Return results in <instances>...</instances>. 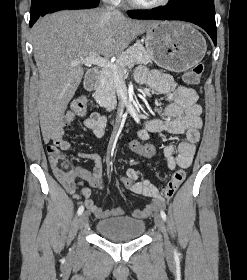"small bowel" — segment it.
<instances>
[{"mask_svg":"<svg viewBox=\"0 0 247 280\" xmlns=\"http://www.w3.org/2000/svg\"><path fill=\"white\" fill-rule=\"evenodd\" d=\"M136 81L139 84L147 85L153 91L165 95L168 105L157 111V118L144 121L137 131L139 139L150 138L151 133L168 131L174 134H184L186 139L177 146L173 143L164 148V157L170 170L177 168L186 169L190 167L196 151V143L200 138L202 127L201 113L202 108L198 103V96L194 89L177 84L173 78L156 70L148 71L144 67H139L135 73ZM75 115L67 112L58 125L51 133L50 139L54 146L61 150H69L70 143L64 138L66 128L74 121ZM107 125L106 116L93 112L83 121V126L94 133L97 137L105 134ZM175 153H177L175 155ZM78 158L88 159L95 162V167L89 171L80 166L74 167V175L71 179H60V182L68 193L75 197L83 199L86 208L97 218L105 219L108 217L122 216V208L104 209L95 204L91 199L90 187L102 189L101 179L102 166L99 156L95 154L78 153ZM126 176L133 181V186L129 189L132 193L148 197L152 200L142 209H134L131 212L132 217L140 219L147 217L154 208L163 203L157 187L147 179H139V173L135 169H128Z\"/></svg>","mask_w":247,"mask_h":280,"instance_id":"c3829d8e","label":"small bowel"}]
</instances>
